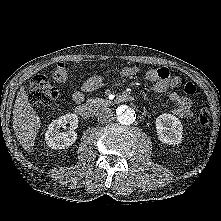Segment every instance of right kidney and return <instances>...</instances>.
<instances>
[{"instance_id": "1", "label": "right kidney", "mask_w": 221, "mask_h": 221, "mask_svg": "<svg viewBox=\"0 0 221 221\" xmlns=\"http://www.w3.org/2000/svg\"><path fill=\"white\" fill-rule=\"evenodd\" d=\"M70 125V131L60 132L61 127ZM78 127V117L76 114L69 113L54 120L45 134V141L52 149H65L73 145L77 140V133L74 131Z\"/></svg>"}]
</instances>
